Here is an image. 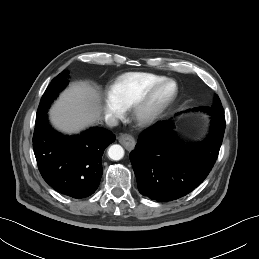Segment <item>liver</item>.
Here are the masks:
<instances>
[{
	"label": "liver",
	"mask_w": 259,
	"mask_h": 259,
	"mask_svg": "<svg viewBox=\"0 0 259 259\" xmlns=\"http://www.w3.org/2000/svg\"><path fill=\"white\" fill-rule=\"evenodd\" d=\"M100 103L96 89L86 82H75L50 110L51 122L62 132H78L100 119Z\"/></svg>",
	"instance_id": "obj_1"
}]
</instances>
